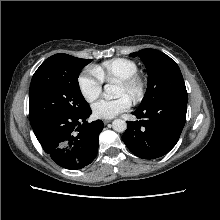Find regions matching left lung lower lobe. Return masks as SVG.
I'll list each match as a JSON object with an SVG mask.
<instances>
[{"label":"left lung lower lobe","mask_w":220,"mask_h":220,"mask_svg":"<svg viewBox=\"0 0 220 220\" xmlns=\"http://www.w3.org/2000/svg\"><path fill=\"white\" fill-rule=\"evenodd\" d=\"M187 93L166 96L137 109L140 121H128L122 139L128 149L142 159H155L168 153L178 142L186 122Z\"/></svg>","instance_id":"0a47b994"}]
</instances>
